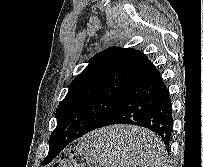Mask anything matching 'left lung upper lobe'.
<instances>
[{
  "mask_svg": "<svg viewBox=\"0 0 203 167\" xmlns=\"http://www.w3.org/2000/svg\"><path fill=\"white\" fill-rule=\"evenodd\" d=\"M148 61L141 51L119 47H110L92 57L57 108V126L49 146L58 139L74 140L98 128Z\"/></svg>",
  "mask_w": 203,
  "mask_h": 167,
  "instance_id": "1",
  "label": "left lung upper lobe"
}]
</instances>
